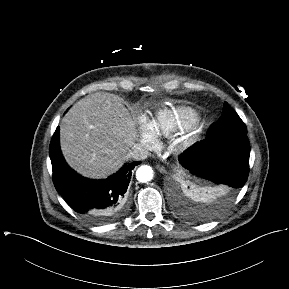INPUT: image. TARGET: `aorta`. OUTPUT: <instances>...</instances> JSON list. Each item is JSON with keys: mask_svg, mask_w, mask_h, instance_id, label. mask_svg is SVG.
<instances>
[{"mask_svg": "<svg viewBox=\"0 0 289 289\" xmlns=\"http://www.w3.org/2000/svg\"><path fill=\"white\" fill-rule=\"evenodd\" d=\"M136 178L139 182L146 183L153 178V170L148 165L139 167L136 171Z\"/></svg>", "mask_w": 289, "mask_h": 289, "instance_id": "762f6f07", "label": "aorta"}]
</instances>
